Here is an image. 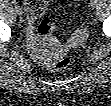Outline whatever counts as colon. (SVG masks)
<instances>
[{
  "mask_svg": "<svg viewBox=\"0 0 111 106\" xmlns=\"http://www.w3.org/2000/svg\"><path fill=\"white\" fill-rule=\"evenodd\" d=\"M56 24L50 18H44L40 21L37 32L42 38L50 37L56 31ZM72 62V57L70 55L64 54L63 49L57 47L52 59L48 62V68L50 70H59L69 66Z\"/></svg>",
  "mask_w": 111,
  "mask_h": 106,
  "instance_id": "obj_1",
  "label": "colon"
}]
</instances>
